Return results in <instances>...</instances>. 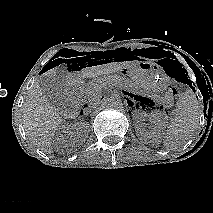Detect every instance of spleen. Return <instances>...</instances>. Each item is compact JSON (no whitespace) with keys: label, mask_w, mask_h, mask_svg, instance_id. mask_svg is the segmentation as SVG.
<instances>
[{"label":"spleen","mask_w":213,"mask_h":213,"mask_svg":"<svg viewBox=\"0 0 213 213\" xmlns=\"http://www.w3.org/2000/svg\"><path fill=\"white\" fill-rule=\"evenodd\" d=\"M176 105L174 118L167 128L164 138V147L168 150L183 145L193 136L202 114V105L190 88L179 97Z\"/></svg>","instance_id":"obj_1"}]
</instances>
